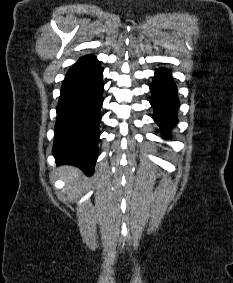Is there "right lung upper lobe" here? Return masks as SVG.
<instances>
[{
	"mask_svg": "<svg viewBox=\"0 0 233 283\" xmlns=\"http://www.w3.org/2000/svg\"><path fill=\"white\" fill-rule=\"evenodd\" d=\"M85 55H96V50H85Z\"/></svg>",
	"mask_w": 233,
	"mask_h": 283,
	"instance_id": "1",
	"label": "right lung upper lobe"
}]
</instances>
